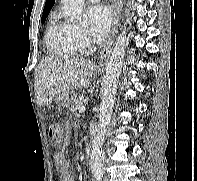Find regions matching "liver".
<instances>
[{
	"mask_svg": "<svg viewBox=\"0 0 197 181\" xmlns=\"http://www.w3.org/2000/svg\"><path fill=\"white\" fill-rule=\"evenodd\" d=\"M95 66L81 57H49L35 69V95L39 106H48L53 98L65 90L86 87Z\"/></svg>",
	"mask_w": 197,
	"mask_h": 181,
	"instance_id": "liver-1",
	"label": "liver"
}]
</instances>
